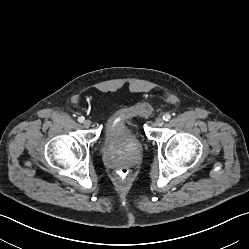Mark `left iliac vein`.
I'll return each mask as SVG.
<instances>
[{
	"label": "left iliac vein",
	"mask_w": 249,
	"mask_h": 249,
	"mask_svg": "<svg viewBox=\"0 0 249 249\" xmlns=\"http://www.w3.org/2000/svg\"><path fill=\"white\" fill-rule=\"evenodd\" d=\"M155 124L157 126H163L164 124V119L163 118H157L156 121H155Z\"/></svg>",
	"instance_id": "obj_1"
}]
</instances>
